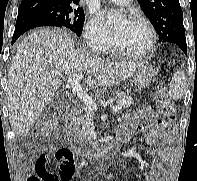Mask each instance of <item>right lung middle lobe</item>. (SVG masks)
Returning a JSON list of instances; mask_svg holds the SVG:
<instances>
[{"label":"right lung middle lobe","instance_id":"1","mask_svg":"<svg viewBox=\"0 0 197 181\" xmlns=\"http://www.w3.org/2000/svg\"><path fill=\"white\" fill-rule=\"evenodd\" d=\"M45 14L58 22L59 27H66L80 36L85 21L84 10L72 6H58L50 4H37L28 8Z\"/></svg>","mask_w":197,"mask_h":181}]
</instances>
